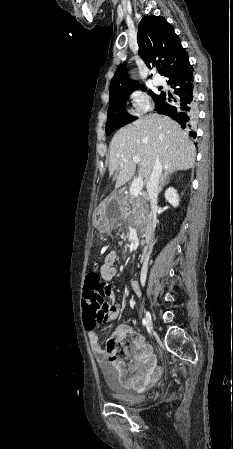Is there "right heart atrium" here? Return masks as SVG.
Masks as SVG:
<instances>
[{
    "mask_svg": "<svg viewBox=\"0 0 233 449\" xmlns=\"http://www.w3.org/2000/svg\"><path fill=\"white\" fill-rule=\"evenodd\" d=\"M129 100L132 107L133 116H142L149 112L152 108L151 100L148 94L139 89H133L129 94Z\"/></svg>",
    "mask_w": 233,
    "mask_h": 449,
    "instance_id": "right-heart-atrium-1",
    "label": "right heart atrium"
}]
</instances>
